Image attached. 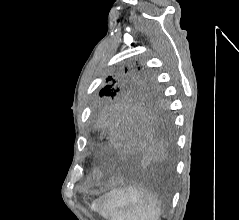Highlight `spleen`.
<instances>
[{"instance_id": "1", "label": "spleen", "mask_w": 239, "mask_h": 220, "mask_svg": "<svg viewBox=\"0 0 239 220\" xmlns=\"http://www.w3.org/2000/svg\"><path fill=\"white\" fill-rule=\"evenodd\" d=\"M93 209L108 220H160L161 215L157 199L134 187L111 190Z\"/></svg>"}]
</instances>
